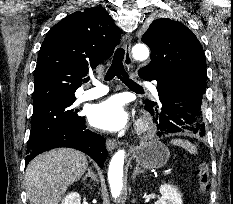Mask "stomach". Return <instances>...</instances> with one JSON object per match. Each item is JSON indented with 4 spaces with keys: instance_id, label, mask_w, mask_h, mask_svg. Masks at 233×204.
<instances>
[{
    "instance_id": "stomach-1",
    "label": "stomach",
    "mask_w": 233,
    "mask_h": 204,
    "mask_svg": "<svg viewBox=\"0 0 233 204\" xmlns=\"http://www.w3.org/2000/svg\"><path fill=\"white\" fill-rule=\"evenodd\" d=\"M170 157L168 148L160 141H148L141 144L135 153V159L143 169H157L166 165Z\"/></svg>"
}]
</instances>
